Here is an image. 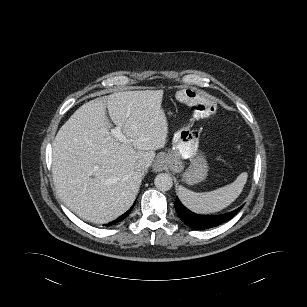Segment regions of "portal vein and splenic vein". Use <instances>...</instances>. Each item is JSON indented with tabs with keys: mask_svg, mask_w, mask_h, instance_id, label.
<instances>
[{
	"mask_svg": "<svg viewBox=\"0 0 307 307\" xmlns=\"http://www.w3.org/2000/svg\"><path fill=\"white\" fill-rule=\"evenodd\" d=\"M111 135L117 138L121 142H128L129 140L126 139L124 134L121 131V125L116 126L115 128L111 129Z\"/></svg>",
	"mask_w": 307,
	"mask_h": 307,
	"instance_id": "obj_1",
	"label": "portal vein and splenic vein"
}]
</instances>
